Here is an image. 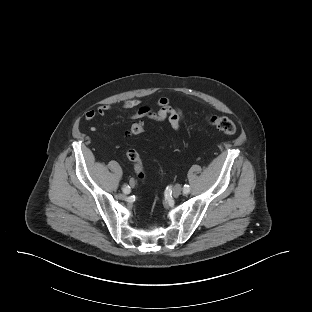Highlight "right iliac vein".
Masks as SVG:
<instances>
[{
  "label": "right iliac vein",
  "mask_w": 312,
  "mask_h": 312,
  "mask_svg": "<svg viewBox=\"0 0 312 312\" xmlns=\"http://www.w3.org/2000/svg\"><path fill=\"white\" fill-rule=\"evenodd\" d=\"M129 183H130L131 186H134V184H135L134 180H130Z\"/></svg>",
  "instance_id": "63e3f726"
}]
</instances>
